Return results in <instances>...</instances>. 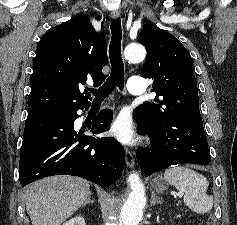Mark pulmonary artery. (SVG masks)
<instances>
[{
    "mask_svg": "<svg viewBox=\"0 0 237 225\" xmlns=\"http://www.w3.org/2000/svg\"><path fill=\"white\" fill-rule=\"evenodd\" d=\"M128 91L134 95H142L144 88L142 86V79L139 77H131L128 81Z\"/></svg>",
    "mask_w": 237,
    "mask_h": 225,
    "instance_id": "e3ab8cb5",
    "label": "pulmonary artery"
}]
</instances>
